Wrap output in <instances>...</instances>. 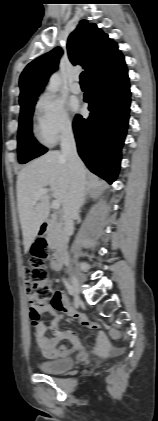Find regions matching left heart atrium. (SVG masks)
Segmentation results:
<instances>
[{"instance_id": "left-heart-atrium-1", "label": "left heart atrium", "mask_w": 158, "mask_h": 421, "mask_svg": "<svg viewBox=\"0 0 158 421\" xmlns=\"http://www.w3.org/2000/svg\"><path fill=\"white\" fill-rule=\"evenodd\" d=\"M71 109L73 110V111H77L78 110V106L76 105V104H71Z\"/></svg>"}]
</instances>
